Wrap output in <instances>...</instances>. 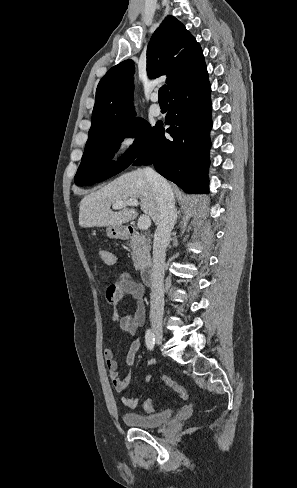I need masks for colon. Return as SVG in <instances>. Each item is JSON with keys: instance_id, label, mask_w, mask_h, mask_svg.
Returning <instances> with one entry per match:
<instances>
[{"instance_id": "1", "label": "colon", "mask_w": 297, "mask_h": 488, "mask_svg": "<svg viewBox=\"0 0 297 488\" xmlns=\"http://www.w3.org/2000/svg\"><path fill=\"white\" fill-rule=\"evenodd\" d=\"M98 257L100 260H102L103 258H106V255L104 254V250H100L98 252ZM115 291H116V285H115V283L112 282L108 285L107 290H106V295H107L108 300H110V301L112 300V298L115 294ZM163 381L166 383V385L168 387H170L174 392H176L182 399H184V400L188 399V392H187L186 388L183 385L179 384L178 382L172 380L170 375H164ZM143 406H144L145 411H147V412H153L154 411V406H153L150 398L145 400Z\"/></svg>"}]
</instances>
